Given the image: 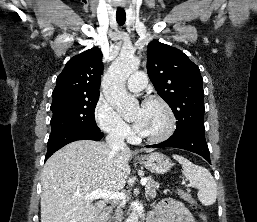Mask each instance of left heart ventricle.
<instances>
[{
  "mask_svg": "<svg viewBox=\"0 0 257 222\" xmlns=\"http://www.w3.org/2000/svg\"><path fill=\"white\" fill-rule=\"evenodd\" d=\"M143 119V130L140 133L143 136H153L161 133L167 126V114L161 105L146 104L135 109L132 119L138 117Z\"/></svg>",
  "mask_w": 257,
  "mask_h": 222,
  "instance_id": "left-heart-ventricle-1",
  "label": "left heart ventricle"
}]
</instances>
